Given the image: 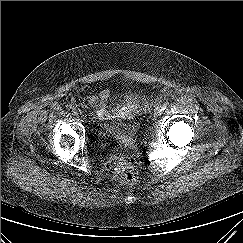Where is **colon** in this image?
Listing matches in <instances>:
<instances>
[{
  "mask_svg": "<svg viewBox=\"0 0 243 243\" xmlns=\"http://www.w3.org/2000/svg\"><path fill=\"white\" fill-rule=\"evenodd\" d=\"M116 177L121 183L134 182L138 177L137 170L128 161H125L116 170Z\"/></svg>",
  "mask_w": 243,
  "mask_h": 243,
  "instance_id": "5ec220e1",
  "label": "colon"
}]
</instances>
